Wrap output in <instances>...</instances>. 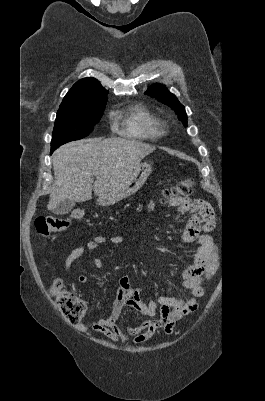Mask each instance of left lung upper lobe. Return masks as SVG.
<instances>
[{
  "label": "left lung upper lobe",
  "mask_w": 265,
  "mask_h": 401,
  "mask_svg": "<svg viewBox=\"0 0 265 401\" xmlns=\"http://www.w3.org/2000/svg\"><path fill=\"white\" fill-rule=\"evenodd\" d=\"M145 94L156 98L158 101L175 110L179 120L183 122L184 126H187V115L184 106L178 101L175 95L167 90V88H165L163 85L155 84L150 86Z\"/></svg>",
  "instance_id": "1"
}]
</instances>
